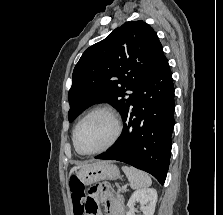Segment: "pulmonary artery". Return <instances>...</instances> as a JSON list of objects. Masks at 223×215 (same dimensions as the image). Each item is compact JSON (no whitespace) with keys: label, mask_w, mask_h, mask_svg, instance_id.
I'll use <instances>...</instances> for the list:
<instances>
[{"label":"pulmonary artery","mask_w":223,"mask_h":215,"mask_svg":"<svg viewBox=\"0 0 223 215\" xmlns=\"http://www.w3.org/2000/svg\"><path fill=\"white\" fill-rule=\"evenodd\" d=\"M137 97H140V94H137Z\"/></svg>","instance_id":"1"}]
</instances>
